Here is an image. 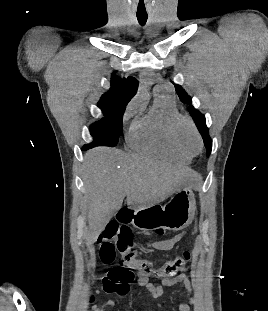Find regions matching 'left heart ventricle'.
Masks as SVG:
<instances>
[{"label":"left heart ventricle","mask_w":268,"mask_h":311,"mask_svg":"<svg viewBox=\"0 0 268 311\" xmlns=\"http://www.w3.org/2000/svg\"><path fill=\"white\" fill-rule=\"evenodd\" d=\"M180 135L183 144L188 150H190L191 152L198 151V140L188 126L183 125L181 127Z\"/></svg>","instance_id":"1"}]
</instances>
